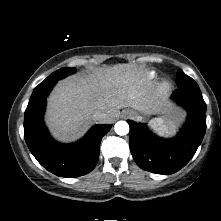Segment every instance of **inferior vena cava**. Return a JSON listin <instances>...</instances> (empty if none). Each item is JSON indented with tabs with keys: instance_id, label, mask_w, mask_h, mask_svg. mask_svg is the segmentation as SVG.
<instances>
[{
	"instance_id": "602c4592",
	"label": "inferior vena cava",
	"mask_w": 221,
	"mask_h": 221,
	"mask_svg": "<svg viewBox=\"0 0 221 221\" xmlns=\"http://www.w3.org/2000/svg\"><path fill=\"white\" fill-rule=\"evenodd\" d=\"M106 118V114L101 112V111H96L93 114V120L101 122L102 120H104Z\"/></svg>"
}]
</instances>
